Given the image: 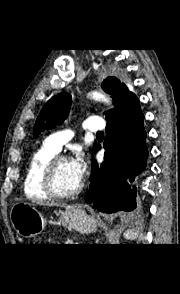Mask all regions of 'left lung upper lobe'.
<instances>
[{
  "label": "left lung upper lobe",
  "mask_w": 180,
  "mask_h": 294,
  "mask_svg": "<svg viewBox=\"0 0 180 294\" xmlns=\"http://www.w3.org/2000/svg\"><path fill=\"white\" fill-rule=\"evenodd\" d=\"M102 88L106 93L111 94L115 108L105 113L106 120L112 118L120 108L135 94L130 92L127 86L118 78L109 76L103 83ZM71 95L60 93L51 98L41 110L34 127V137L45 129L53 128L55 125L62 123L68 116L71 107ZM98 144L94 145L93 153Z\"/></svg>",
  "instance_id": "5c2ea615"
}]
</instances>
